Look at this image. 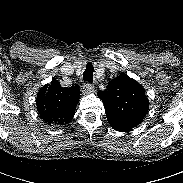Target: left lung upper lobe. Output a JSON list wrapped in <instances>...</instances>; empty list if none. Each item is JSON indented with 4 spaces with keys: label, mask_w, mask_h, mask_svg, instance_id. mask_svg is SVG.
<instances>
[{
    "label": "left lung upper lobe",
    "mask_w": 183,
    "mask_h": 183,
    "mask_svg": "<svg viewBox=\"0 0 183 183\" xmlns=\"http://www.w3.org/2000/svg\"><path fill=\"white\" fill-rule=\"evenodd\" d=\"M109 124L119 131H129L140 124L148 112V98L143 87L122 73L99 91Z\"/></svg>",
    "instance_id": "5c2ea615"
}]
</instances>
